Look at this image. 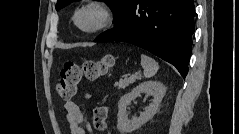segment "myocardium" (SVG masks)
<instances>
[{"label": "myocardium", "mask_w": 239, "mask_h": 134, "mask_svg": "<svg viewBox=\"0 0 239 134\" xmlns=\"http://www.w3.org/2000/svg\"><path fill=\"white\" fill-rule=\"evenodd\" d=\"M96 11L98 13V21L95 25L91 27H84L80 23V16L82 13L86 11ZM113 20V14L110 8L102 2L99 1H91L80 8H78L74 14V24L75 26L83 33L93 34L105 29L107 26L111 24Z\"/></svg>", "instance_id": "myocardium-1"}]
</instances>
